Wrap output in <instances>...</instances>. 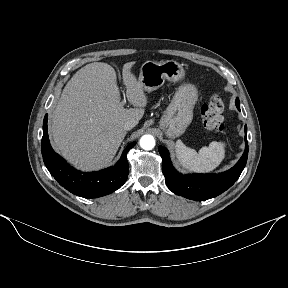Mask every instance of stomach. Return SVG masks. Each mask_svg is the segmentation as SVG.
I'll return each mask as SVG.
<instances>
[{"mask_svg": "<svg viewBox=\"0 0 288 288\" xmlns=\"http://www.w3.org/2000/svg\"><path fill=\"white\" fill-rule=\"evenodd\" d=\"M185 70L174 60L162 62L146 61L140 68L138 81L143 90L152 92L160 88L165 80L182 81ZM198 101L197 88L189 83H182L175 91L171 103L160 120V128L169 138L181 136L193 119V109Z\"/></svg>", "mask_w": 288, "mask_h": 288, "instance_id": "obj_1", "label": "stomach"}]
</instances>
